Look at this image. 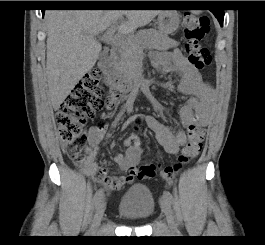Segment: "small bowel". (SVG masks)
I'll use <instances>...</instances> for the list:
<instances>
[{"instance_id":"1","label":"small bowel","mask_w":265,"mask_h":245,"mask_svg":"<svg viewBox=\"0 0 265 245\" xmlns=\"http://www.w3.org/2000/svg\"><path fill=\"white\" fill-rule=\"evenodd\" d=\"M150 60L153 68L161 75L170 72L178 73L180 75V81L177 86L178 91L189 96L179 110L180 128L175 131L163 124L156 116H146V122L155 132L160 144L166 152L175 155L185 145L189 129L199 124L197 122V114L209 105L214 89L202 79L199 70L183 57L179 49L175 48L164 53L152 52ZM116 99L118 104L120 98L117 97ZM133 104L134 99L129 98L124 105L123 111L118 114V118H121L124 113L130 112ZM137 117L132 116L128 118L123 123V128H126ZM103 135L104 128L94 127L89 130L88 146L85 150L86 156L81 171L87 178L105 186L108 191L113 192L120 190L125 184L134 180L135 165L139 161L143 149L136 138H126L123 141V145L126 148L125 154L118 153L114 156V161L126 174L119 177L109 176L104 168L99 167L95 163L98 143Z\"/></svg>"}]
</instances>
